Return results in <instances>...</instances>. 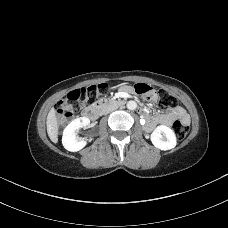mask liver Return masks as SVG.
I'll return each instance as SVG.
<instances>
[{"label":"liver","mask_w":228,"mask_h":228,"mask_svg":"<svg viewBox=\"0 0 228 228\" xmlns=\"http://www.w3.org/2000/svg\"><path fill=\"white\" fill-rule=\"evenodd\" d=\"M46 125H47V133L49 138L53 143H57L58 142V122H57L54 108H51V110L47 115Z\"/></svg>","instance_id":"6515ba94"}]
</instances>
